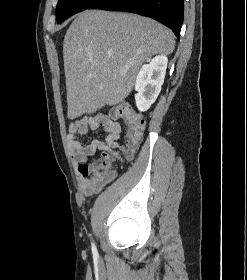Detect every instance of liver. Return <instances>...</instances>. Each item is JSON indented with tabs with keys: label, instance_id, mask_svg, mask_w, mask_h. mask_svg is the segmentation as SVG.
I'll list each match as a JSON object with an SVG mask.
<instances>
[{
	"label": "liver",
	"instance_id": "obj_1",
	"mask_svg": "<svg viewBox=\"0 0 247 280\" xmlns=\"http://www.w3.org/2000/svg\"><path fill=\"white\" fill-rule=\"evenodd\" d=\"M175 48L170 29L148 17L86 10L77 15L63 43L68 118L122 102L149 56Z\"/></svg>",
	"mask_w": 247,
	"mask_h": 280
}]
</instances>
